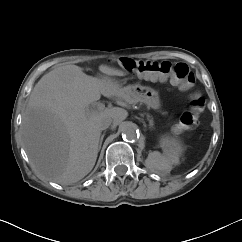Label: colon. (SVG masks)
I'll return each instance as SVG.
<instances>
[{"label": "colon", "mask_w": 242, "mask_h": 242, "mask_svg": "<svg viewBox=\"0 0 242 242\" xmlns=\"http://www.w3.org/2000/svg\"><path fill=\"white\" fill-rule=\"evenodd\" d=\"M116 64L125 70L137 73L151 80H169L182 91H189L194 87L195 77L185 63H171L168 61L135 60L131 58H119ZM205 101L199 95H192L190 108L186 110L175 124L176 131H184L195 127L199 121Z\"/></svg>", "instance_id": "5ec220e1"}]
</instances>
